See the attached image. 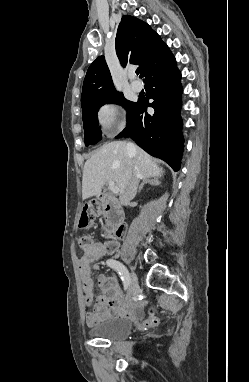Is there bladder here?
Returning <instances> with one entry per match:
<instances>
[{
    "mask_svg": "<svg viewBox=\"0 0 249 382\" xmlns=\"http://www.w3.org/2000/svg\"><path fill=\"white\" fill-rule=\"evenodd\" d=\"M133 330V323L127 318H112L103 320L90 329L95 338L121 341L129 337Z\"/></svg>",
    "mask_w": 249,
    "mask_h": 382,
    "instance_id": "31cf9c89",
    "label": "bladder"
}]
</instances>
